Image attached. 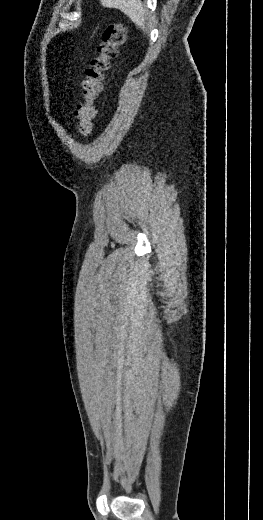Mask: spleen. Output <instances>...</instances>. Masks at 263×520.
Masks as SVG:
<instances>
[{
    "label": "spleen",
    "mask_w": 263,
    "mask_h": 520,
    "mask_svg": "<svg viewBox=\"0 0 263 520\" xmlns=\"http://www.w3.org/2000/svg\"><path fill=\"white\" fill-rule=\"evenodd\" d=\"M107 8H117L127 15L138 27L146 29V9L140 0H101Z\"/></svg>",
    "instance_id": "spleen-1"
}]
</instances>
